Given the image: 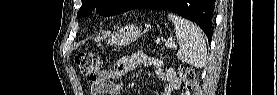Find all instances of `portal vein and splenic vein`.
Instances as JSON below:
<instances>
[{"label": "portal vein and splenic vein", "instance_id": "1", "mask_svg": "<svg viewBox=\"0 0 277 95\" xmlns=\"http://www.w3.org/2000/svg\"><path fill=\"white\" fill-rule=\"evenodd\" d=\"M165 46L168 48H176L177 47L176 44L173 42H166Z\"/></svg>", "mask_w": 277, "mask_h": 95}]
</instances>
